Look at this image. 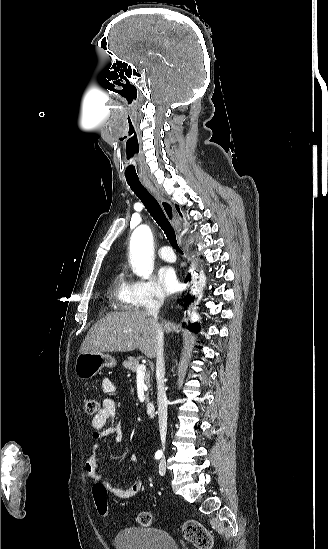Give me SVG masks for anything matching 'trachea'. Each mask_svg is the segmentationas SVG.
I'll use <instances>...</instances> for the list:
<instances>
[{
  "mask_svg": "<svg viewBox=\"0 0 328 549\" xmlns=\"http://www.w3.org/2000/svg\"><path fill=\"white\" fill-rule=\"evenodd\" d=\"M127 183L130 186L131 190H133V192L144 204V207L147 209L151 217H153V219L156 221L159 227L164 231L167 239L170 242V245L174 249H176L177 252H179L180 254H183L182 250L180 249L177 243L174 229L172 228L169 220L167 219L165 213L163 212L157 200H155L153 195H151L148 192V190L145 189L144 185L141 184L140 180H131V181H127Z\"/></svg>",
  "mask_w": 328,
  "mask_h": 549,
  "instance_id": "3493384b",
  "label": "trachea"
}]
</instances>
